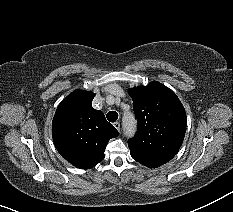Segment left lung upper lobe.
<instances>
[{"mask_svg":"<svg viewBox=\"0 0 233 212\" xmlns=\"http://www.w3.org/2000/svg\"><path fill=\"white\" fill-rule=\"evenodd\" d=\"M138 122L128 141L134 160L149 168L170 161L178 152L186 131L185 109L176 94L159 82L129 89Z\"/></svg>","mask_w":233,"mask_h":212,"instance_id":"1","label":"left lung upper lobe"}]
</instances>
